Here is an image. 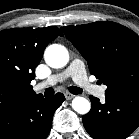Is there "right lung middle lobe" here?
<instances>
[{
    "label": "right lung middle lobe",
    "instance_id": "dd1d6c3e",
    "mask_svg": "<svg viewBox=\"0 0 139 139\" xmlns=\"http://www.w3.org/2000/svg\"><path fill=\"white\" fill-rule=\"evenodd\" d=\"M14 97L11 89L0 79V110L13 106Z\"/></svg>",
    "mask_w": 139,
    "mask_h": 139
}]
</instances>
